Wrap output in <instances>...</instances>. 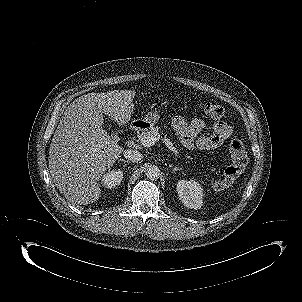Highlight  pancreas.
Segmentation results:
<instances>
[{
	"label": "pancreas",
	"instance_id": "obj_1",
	"mask_svg": "<svg viewBox=\"0 0 302 302\" xmlns=\"http://www.w3.org/2000/svg\"><path fill=\"white\" fill-rule=\"evenodd\" d=\"M160 128L159 127H152L149 130H147L146 132H142L139 137L144 138V137H151V136H156L158 138H160Z\"/></svg>",
	"mask_w": 302,
	"mask_h": 302
}]
</instances>
